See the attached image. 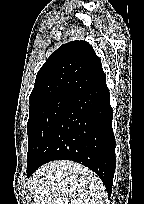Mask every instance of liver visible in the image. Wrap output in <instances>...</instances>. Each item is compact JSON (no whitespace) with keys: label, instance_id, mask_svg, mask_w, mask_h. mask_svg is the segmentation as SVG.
Listing matches in <instances>:
<instances>
[{"label":"liver","instance_id":"obj_1","mask_svg":"<svg viewBox=\"0 0 144 204\" xmlns=\"http://www.w3.org/2000/svg\"><path fill=\"white\" fill-rule=\"evenodd\" d=\"M33 204H105L106 189L90 169L72 161L41 166L29 179Z\"/></svg>","mask_w":144,"mask_h":204}]
</instances>
